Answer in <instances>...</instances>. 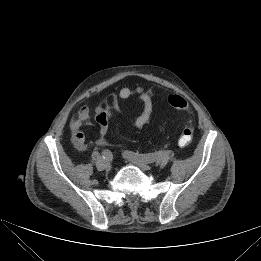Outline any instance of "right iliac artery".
Here are the masks:
<instances>
[{"label": "right iliac artery", "mask_w": 261, "mask_h": 261, "mask_svg": "<svg viewBox=\"0 0 261 261\" xmlns=\"http://www.w3.org/2000/svg\"><path fill=\"white\" fill-rule=\"evenodd\" d=\"M102 158L105 160H112V158H113L112 152L108 149L103 150Z\"/></svg>", "instance_id": "1"}]
</instances>
